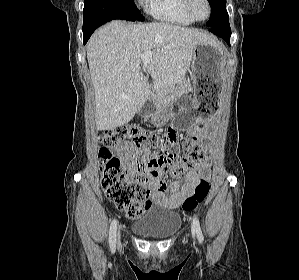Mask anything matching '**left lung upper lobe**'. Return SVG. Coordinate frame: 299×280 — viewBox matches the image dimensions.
I'll list each match as a JSON object with an SVG mask.
<instances>
[{"label":"left lung upper lobe","mask_w":299,"mask_h":280,"mask_svg":"<svg viewBox=\"0 0 299 280\" xmlns=\"http://www.w3.org/2000/svg\"><path fill=\"white\" fill-rule=\"evenodd\" d=\"M211 6V18L206 23L207 26L212 27L217 24L226 11V0H208Z\"/></svg>","instance_id":"left-lung-upper-lobe-1"}]
</instances>
